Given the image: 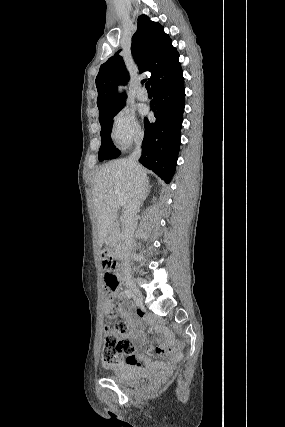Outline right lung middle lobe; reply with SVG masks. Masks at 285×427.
<instances>
[{
  "mask_svg": "<svg viewBox=\"0 0 285 427\" xmlns=\"http://www.w3.org/2000/svg\"><path fill=\"white\" fill-rule=\"evenodd\" d=\"M116 113L109 116L107 119L100 122L101 124V147L99 150L98 158L100 161L106 159H113L120 155V151L115 148L110 138V132L113 124V117Z\"/></svg>",
  "mask_w": 285,
  "mask_h": 427,
  "instance_id": "obj_1",
  "label": "right lung middle lobe"
}]
</instances>
